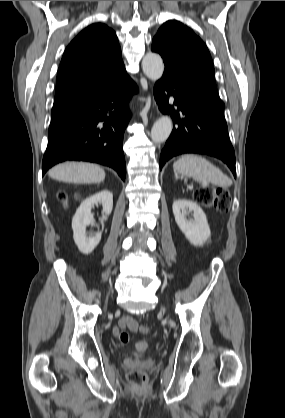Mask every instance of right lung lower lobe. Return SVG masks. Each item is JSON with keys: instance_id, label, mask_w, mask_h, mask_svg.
<instances>
[{"instance_id": "right-lung-lower-lobe-1", "label": "right lung lower lobe", "mask_w": 285, "mask_h": 418, "mask_svg": "<svg viewBox=\"0 0 285 418\" xmlns=\"http://www.w3.org/2000/svg\"><path fill=\"white\" fill-rule=\"evenodd\" d=\"M137 91L136 84L127 76L120 83L52 117L42 161L43 174L57 163L76 160L109 166L125 180L123 135L131 117L127 105Z\"/></svg>"}]
</instances>
